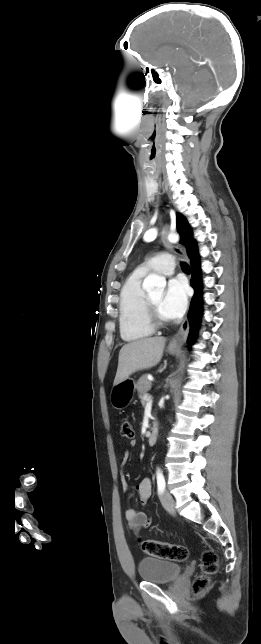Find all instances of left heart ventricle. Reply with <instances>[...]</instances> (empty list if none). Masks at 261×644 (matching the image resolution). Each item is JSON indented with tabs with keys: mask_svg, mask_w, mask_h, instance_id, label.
Masks as SVG:
<instances>
[{
	"mask_svg": "<svg viewBox=\"0 0 261 644\" xmlns=\"http://www.w3.org/2000/svg\"><path fill=\"white\" fill-rule=\"evenodd\" d=\"M153 304L155 305L158 313L160 314L161 317L166 318L164 313L161 310V302L163 298V292H157L149 295ZM167 319V318H166Z\"/></svg>",
	"mask_w": 261,
	"mask_h": 644,
	"instance_id": "obj_1",
	"label": "left heart ventricle"
}]
</instances>
